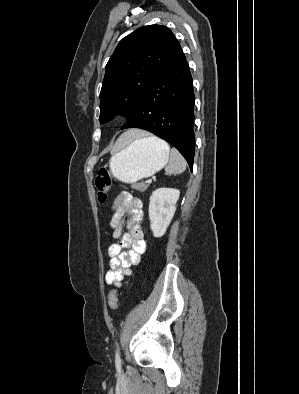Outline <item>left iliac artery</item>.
Here are the masks:
<instances>
[{
	"label": "left iliac artery",
	"instance_id": "44dca946",
	"mask_svg": "<svg viewBox=\"0 0 299 394\" xmlns=\"http://www.w3.org/2000/svg\"><path fill=\"white\" fill-rule=\"evenodd\" d=\"M115 364H116V367H117L118 369L121 368V358H120V353H119L118 347H117L116 355H115Z\"/></svg>",
	"mask_w": 299,
	"mask_h": 394
}]
</instances>
